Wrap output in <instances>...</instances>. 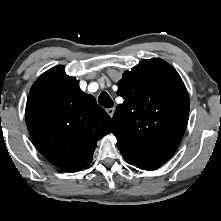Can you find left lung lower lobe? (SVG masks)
<instances>
[{"mask_svg": "<svg viewBox=\"0 0 221 221\" xmlns=\"http://www.w3.org/2000/svg\"><path fill=\"white\" fill-rule=\"evenodd\" d=\"M119 150H120L122 156L124 157V159L129 164L134 165L137 168H140L142 170H155L162 165L160 163L151 162V161L141 159L127 150H124V149H119Z\"/></svg>", "mask_w": 221, "mask_h": 221, "instance_id": "left-lung-lower-lobe-1", "label": "left lung lower lobe"}]
</instances>
